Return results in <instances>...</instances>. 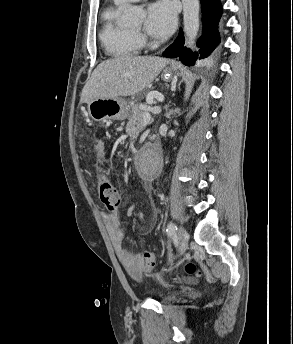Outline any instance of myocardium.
Segmentation results:
<instances>
[{
  "label": "myocardium",
  "instance_id": "f54148a6",
  "mask_svg": "<svg viewBox=\"0 0 293 344\" xmlns=\"http://www.w3.org/2000/svg\"><path fill=\"white\" fill-rule=\"evenodd\" d=\"M135 34H139V31L138 32H135V31H133Z\"/></svg>",
  "mask_w": 293,
  "mask_h": 344
}]
</instances>
